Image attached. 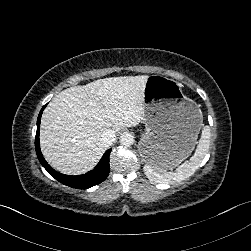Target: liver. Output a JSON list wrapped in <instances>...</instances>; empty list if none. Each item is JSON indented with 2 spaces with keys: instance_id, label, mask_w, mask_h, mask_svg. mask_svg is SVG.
I'll use <instances>...</instances> for the list:
<instances>
[{
  "instance_id": "liver-1",
  "label": "liver",
  "mask_w": 251,
  "mask_h": 251,
  "mask_svg": "<svg viewBox=\"0 0 251 251\" xmlns=\"http://www.w3.org/2000/svg\"><path fill=\"white\" fill-rule=\"evenodd\" d=\"M147 75L108 77L71 86L45 108L39 143L46 162L64 175H84L100 161L106 129L136 126L144 112Z\"/></svg>"
}]
</instances>
